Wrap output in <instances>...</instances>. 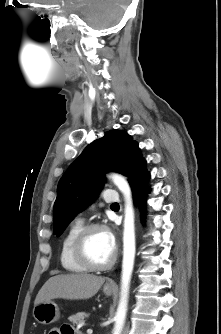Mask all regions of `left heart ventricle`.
Segmentation results:
<instances>
[{
  "label": "left heart ventricle",
  "instance_id": "b2bd125f",
  "mask_svg": "<svg viewBox=\"0 0 221 334\" xmlns=\"http://www.w3.org/2000/svg\"><path fill=\"white\" fill-rule=\"evenodd\" d=\"M87 252L90 258L98 263H107L113 256L115 246L110 242L107 231L96 230L88 238Z\"/></svg>",
  "mask_w": 221,
  "mask_h": 334
}]
</instances>
